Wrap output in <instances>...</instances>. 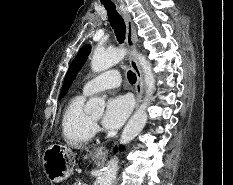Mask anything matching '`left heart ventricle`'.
<instances>
[{"label": "left heart ventricle", "instance_id": "b2bd125f", "mask_svg": "<svg viewBox=\"0 0 233 185\" xmlns=\"http://www.w3.org/2000/svg\"><path fill=\"white\" fill-rule=\"evenodd\" d=\"M95 120L100 118V115L93 117Z\"/></svg>", "mask_w": 233, "mask_h": 185}]
</instances>
